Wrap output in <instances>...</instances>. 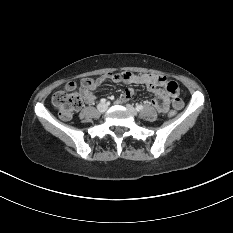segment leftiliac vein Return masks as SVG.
<instances>
[{
  "instance_id": "1",
  "label": "left iliac vein",
  "mask_w": 233,
  "mask_h": 233,
  "mask_svg": "<svg viewBox=\"0 0 233 233\" xmlns=\"http://www.w3.org/2000/svg\"><path fill=\"white\" fill-rule=\"evenodd\" d=\"M126 107L128 108V110H129L133 115L136 116V115L138 114L137 110H136L132 105L127 104Z\"/></svg>"
}]
</instances>
